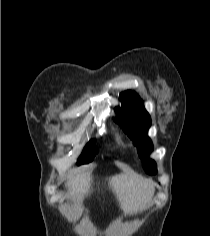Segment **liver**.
Segmentation results:
<instances>
[{
  "instance_id": "6515ba94",
  "label": "liver",
  "mask_w": 210,
  "mask_h": 236,
  "mask_svg": "<svg viewBox=\"0 0 210 236\" xmlns=\"http://www.w3.org/2000/svg\"><path fill=\"white\" fill-rule=\"evenodd\" d=\"M91 182L90 172L70 178L67 181L69 196L80 199L88 195ZM109 186L115 193L121 208L131 213L142 210L150 204L154 193V187L150 181L126 173L112 176L109 179Z\"/></svg>"
}]
</instances>
